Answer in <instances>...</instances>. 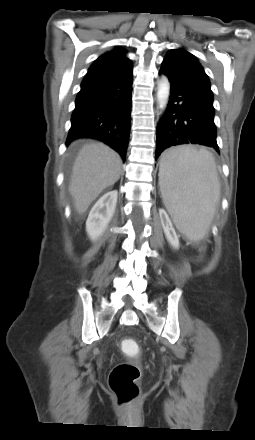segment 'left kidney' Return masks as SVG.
<instances>
[{
	"label": "left kidney",
	"instance_id": "left-kidney-1",
	"mask_svg": "<svg viewBox=\"0 0 255 440\" xmlns=\"http://www.w3.org/2000/svg\"><path fill=\"white\" fill-rule=\"evenodd\" d=\"M162 215L165 219V221L163 223V230L166 235V238H167L168 242L173 246V248L178 249L179 240H178L176 232L172 226V223L169 220V218L165 212H162Z\"/></svg>",
	"mask_w": 255,
	"mask_h": 440
}]
</instances>
